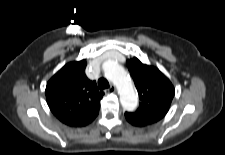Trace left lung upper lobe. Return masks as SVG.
Segmentation results:
<instances>
[{
  "label": "left lung upper lobe",
  "instance_id": "obj_1",
  "mask_svg": "<svg viewBox=\"0 0 225 155\" xmlns=\"http://www.w3.org/2000/svg\"><path fill=\"white\" fill-rule=\"evenodd\" d=\"M141 100L134 113H125L132 125L154 124L167 114L175 94L170 80L156 67L145 65L136 57L127 61Z\"/></svg>",
  "mask_w": 225,
  "mask_h": 155
}]
</instances>
